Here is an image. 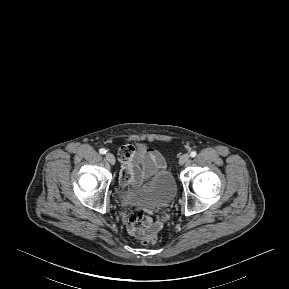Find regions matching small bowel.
Wrapping results in <instances>:
<instances>
[{"label": "small bowel", "instance_id": "c3829d8e", "mask_svg": "<svg viewBox=\"0 0 289 289\" xmlns=\"http://www.w3.org/2000/svg\"><path fill=\"white\" fill-rule=\"evenodd\" d=\"M121 170L119 184L122 188L138 186L145 179L149 180L154 170L166 168V161L157 150L144 144L124 145L119 152ZM163 225L161 218L155 222L142 213H136L127 220L128 233L142 240L151 233H157Z\"/></svg>", "mask_w": 289, "mask_h": 289}]
</instances>
